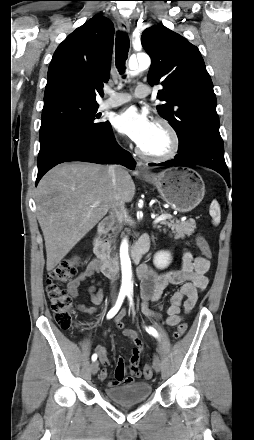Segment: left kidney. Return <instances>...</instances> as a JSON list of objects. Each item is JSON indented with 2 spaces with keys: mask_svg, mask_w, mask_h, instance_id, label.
<instances>
[{
  "mask_svg": "<svg viewBox=\"0 0 254 440\" xmlns=\"http://www.w3.org/2000/svg\"><path fill=\"white\" fill-rule=\"evenodd\" d=\"M171 262V254L169 252L160 251L155 254L153 263L158 269L166 268Z\"/></svg>",
  "mask_w": 254,
  "mask_h": 440,
  "instance_id": "1",
  "label": "left kidney"
}]
</instances>
